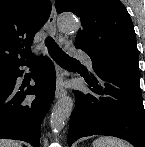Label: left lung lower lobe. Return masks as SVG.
Instances as JSON below:
<instances>
[{
    "label": "left lung lower lobe",
    "mask_w": 145,
    "mask_h": 147,
    "mask_svg": "<svg viewBox=\"0 0 145 147\" xmlns=\"http://www.w3.org/2000/svg\"><path fill=\"white\" fill-rule=\"evenodd\" d=\"M94 74L80 73L92 91H76L68 144L91 135H110L145 147V111L139 64L127 60L92 61Z\"/></svg>",
    "instance_id": "0a47b994"
}]
</instances>
